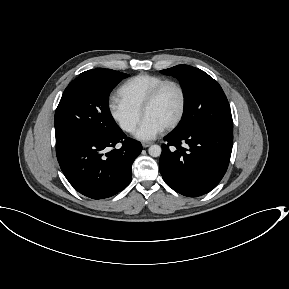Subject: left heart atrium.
Segmentation results:
<instances>
[{"instance_id": "39dd6f15", "label": "left heart atrium", "mask_w": 289, "mask_h": 289, "mask_svg": "<svg viewBox=\"0 0 289 289\" xmlns=\"http://www.w3.org/2000/svg\"><path fill=\"white\" fill-rule=\"evenodd\" d=\"M163 130L164 127L159 123L149 118H144L135 136L139 140H151L157 137Z\"/></svg>"}]
</instances>
